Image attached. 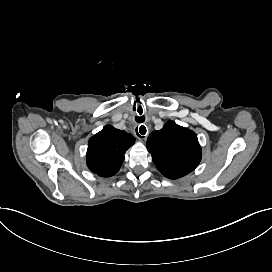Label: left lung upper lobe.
Listing matches in <instances>:
<instances>
[{
    "instance_id": "obj_1",
    "label": "left lung upper lobe",
    "mask_w": 272,
    "mask_h": 272,
    "mask_svg": "<svg viewBox=\"0 0 272 272\" xmlns=\"http://www.w3.org/2000/svg\"><path fill=\"white\" fill-rule=\"evenodd\" d=\"M146 146L158 170L169 179L187 175L201 161L197 135L173 121H168L161 130L153 131Z\"/></svg>"
}]
</instances>
